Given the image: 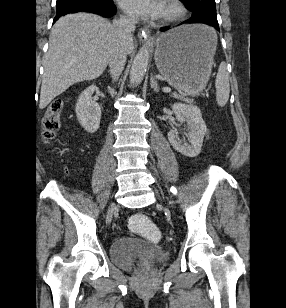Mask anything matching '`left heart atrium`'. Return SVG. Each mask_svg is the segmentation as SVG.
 <instances>
[{
	"mask_svg": "<svg viewBox=\"0 0 286 308\" xmlns=\"http://www.w3.org/2000/svg\"><path fill=\"white\" fill-rule=\"evenodd\" d=\"M119 3L130 16L139 19L158 18L163 11L161 0H119Z\"/></svg>",
	"mask_w": 286,
	"mask_h": 308,
	"instance_id": "left-heart-atrium-1",
	"label": "left heart atrium"
}]
</instances>
